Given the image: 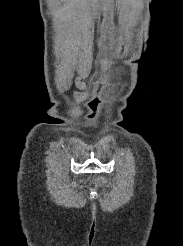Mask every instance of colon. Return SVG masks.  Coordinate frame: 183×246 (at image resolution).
<instances>
[{
    "instance_id": "obj_1",
    "label": "colon",
    "mask_w": 183,
    "mask_h": 246,
    "mask_svg": "<svg viewBox=\"0 0 183 246\" xmlns=\"http://www.w3.org/2000/svg\"><path fill=\"white\" fill-rule=\"evenodd\" d=\"M88 182H97V177H92L91 174L87 175Z\"/></svg>"
}]
</instances>
